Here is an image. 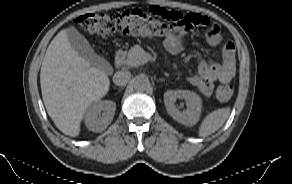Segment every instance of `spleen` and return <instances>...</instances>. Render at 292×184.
<instances>
[{
    "label": "spleen",
    "instance_id": "obj_1",
    "mask_svg": "<svg viewBox=\"0 0 292 184\" xmlns=\"http://www.w3.org/2000/svg\"><path fill=\"white\" fill-rule=\"evenodd\" d=\"M230 115V108H219L209 113L201 122L198 135L206 137L216 132Z\"/></svg>",
    "mask_w": 292,
    "mask_h": 184
}]
</instances>
